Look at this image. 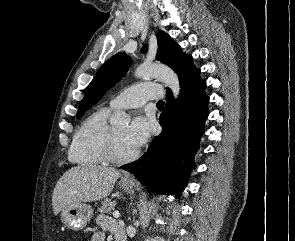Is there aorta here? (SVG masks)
<instances>
[{
  "label": "aorta",
  "mask_w": 295,
  "mask_h": 241,
  "mask_svg": "<svg viewBox=\"0 0 295 241\" xmlns=\"http://www.w3.org/2000/svg\"><path fill=\"white\" fill-rule=\"evenodd\" d=\"M135 76L138 78H157L165 83L177 99L180 93V83L177 74L165 65L143 63L135 70ZM130 117L125 112H116L110 117L111 125H127Z\"/></svg>",
  "instance_id": "obj_1"
}]
</instances>
